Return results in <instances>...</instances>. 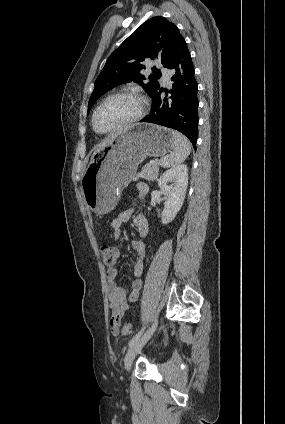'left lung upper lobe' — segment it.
<instances>
[{"label":"left lung upper lobe","mask_w":285,"mask_h":424,"mask_svg":"<svg viewBox=\"0 0 285 424\" xmlns=\"http://www.w3.org/2000/svg\"><path fill=\"white\" fill-rule=\"evenodd\" d=\"M178 28L166 18L157 16L145 21L107 59L94 83V91L88 102V111L95 101L112 88L134 81L151 95L158 87L160 70L153 67L150 81L141 74L145 59H159L166 67L178 39Z\"/></svg>","instance_id":"1"}]
</instances>
